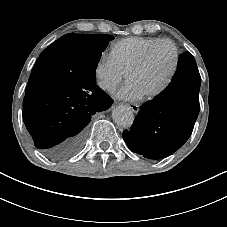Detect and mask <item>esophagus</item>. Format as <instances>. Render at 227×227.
<instances>
[{"label":"esophagus","instance_id":"esophagus-1","mask_svg":"<svg viewBox=\"0 0 227 227\" xmlns=\"http://www.w3.org/2000/svg\"><path fill=\"white\" fill-rule=\"evenodd\" d=\"M127 106L134 112L137 113L139 111L140 106L134 103H129Z\"/></svg>","mask_w":227,"mask_h":227}]
</instances>
